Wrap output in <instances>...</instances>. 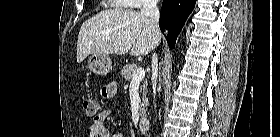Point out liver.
Returning <instances> with one entry per match:
<instances>
[{
	"label": "liver",
	"instance_id": "1",
	"mask_svg": "<svg viewBox=\"0 0 280 137\" xmlns=\"http://www.w3.org/2000/svg\"><path fill=\"white\" fill-rule=\"evenodd\" d=\"M161 41L148 19L131 9H108L85 21L77 41V63L90 54H149Z\"/></svg>",
	"mask_w": 280,
	"mask_h": 137
}]
</instances>
